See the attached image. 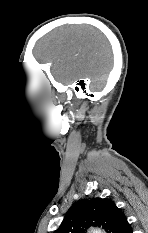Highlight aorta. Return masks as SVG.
Returning a JSON list of instances; mask_svg holds the SVG:
<instances>
[{
	"label": "aorta",
	"mask_w": 148,
	"mask_h": 233,
	"mask_svg": "<svg viewBox=\"0 0 148 233\" xmlns=\"http://www.w3.org/2000/svg\"><path fill=\"white\" fill-rule=\"evenodd\" d=\"M89 233H103V232L99 229H92L91 231H89Z\"/></svg>",
	"instance_id": "obj_1"
}]
</instances>
